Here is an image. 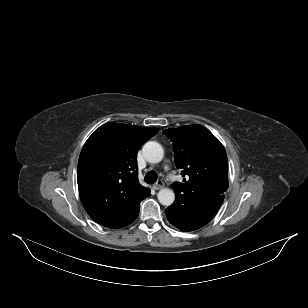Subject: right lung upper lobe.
<instances>
[{"instance_id":"obj_1","label":"right lung upper lobe","mask_w":308,"mask_h":308,"mask_svg":"<svg viewBox=\"0 0 308 308\" xmlns=\"http://www.w3.org/2000/svg\"><path fill=\"white\" fill-rule=\"evenodd\" d=\"M157 128L109 122L88 138L81 151L77 182L81 202L98 224L121 228L138 215L150 190L138 182V149Z\"/></svg>"}]
</instances>
